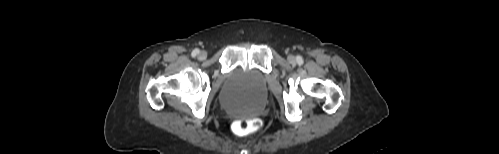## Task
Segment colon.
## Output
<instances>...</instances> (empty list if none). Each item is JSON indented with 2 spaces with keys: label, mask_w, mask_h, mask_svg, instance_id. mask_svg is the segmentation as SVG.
Segmentation results:
<instances>
[{
  "label": "colon",
  "mask_w": 499,
  "mask_h": 154,
  "mask_svg": "<svg viewBox=\"0 0 499 154\" xmlns=\"http://www.w3.org/2000/svg\"><path fill=\"white\" fill-rule=\"evenodd\" d=\"M260 127L261 122L259 120H237L233 125L234 131L239 134L251 133L257 131Z\"/></svg>",
  "instance_id": "obj_1"
}]
</instances>
